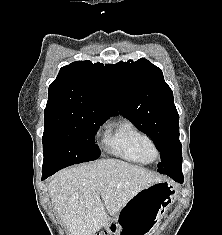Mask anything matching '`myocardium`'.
Segmentation results:
<instances>
[{"instance_id": "f54148a6", "label": "myocardium", "mask_w": 222, "mask_h": 235, "mask_svg": "<svg viewBox=\"0 0 222 235\" xmlns=\"http://www.w3.org/2000/svg\"><path fill=\"white\" fill-rule=\"evenodd\" d=\"M159 157H160V152L156 146L152 147L148 151V158L151 162L157 161L159 159Z\"/></svg>"}]
</instances>
